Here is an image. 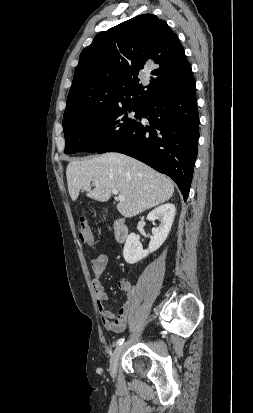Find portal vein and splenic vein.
<instances>
[{"label":"portal vein and splenic vein","mask_w":253,"mask_h":413,"mask_svg":"<svg viewBox=\"0 0 253 413\" xmlns=\"http://www.w3.org/2000/svg\"><path fill=\"white\" fill-rule=\"evenodd\" d=\"M95 184L97 185L98 182L96 181ZM112 193H113L114 195H117V194H118V190L114 189V190H112ZM118 199H119L120 201H123V200H124V196L119 195V196H118Z\"/></svg>","instance_id":"portal-vein-and-splenic-vein-1"}]
</instances>
